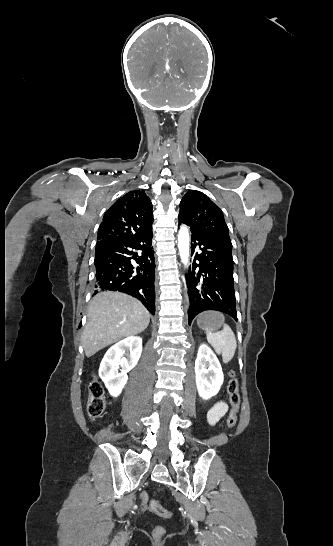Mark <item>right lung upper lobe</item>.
<instances>
[{
  "mask_svg": "<svg viewBox=\"0 0 333 546\" xmlns=\"http://www.w3.org/2000/svg\"><path fill=\"white\" fill-rule=\"evenodd\" d=\"M152 203L143 190H133L119 198L104 214L97 240L132 237L152 229Z\"/></svg>",
  "mask_w": 333,
  "mask_h": 546,
  "instance_id": "right-lung-upper-lobe-1",
  "label": "right lung upper lobe"
}]
</instances>
